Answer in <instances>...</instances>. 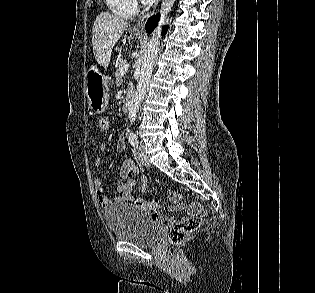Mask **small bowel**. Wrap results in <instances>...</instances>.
Instances as JSON below:
<instances>
[{
    "label": "small bowel",
    "instance_id": "1",
    "mask_svg": "<svg viewBox=\"0 0 315 293\" xmlns=\"http://www.w3.org/2000/svg\"><path fill=\"white\" fill-rule=\"evenodd\" d=\"M109 128V127H108ZM126 148V141L123 135H120L117 141V150L123 152ZM107 150L106 143H101L99 145V151L101 153ZM102 164L101 159H96L95 167H100ZM138 175V167L135 165L131 158H125L121 165L120 170V183L117 187V194L114 198H110L106 193L102 185V181L99 178L93 180V185L97 194V198L103 207H108L114 203L121 202H131L137 206L148 209L151 212V220H160L162 222H168L169 219L162 218L157 213L159 205L155 202H146L142 199L136 198L133 194V188L136 185V177ZM142 190L147 191V182L144 179L142 183ZM167 209L170 211L171 215H178V207L169 206ZM173 220V219H170Z\"/></svg>",
    "mask_w": 315,
    "mask_h": 293
}]
</instances>
